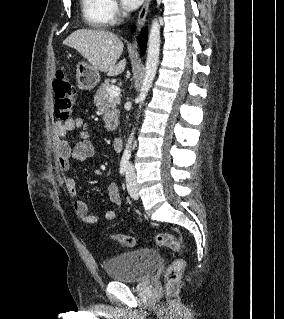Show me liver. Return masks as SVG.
Listing matches in <instances>:
<instances>
[{
  "label": "liver",
  "instance_id": "obj_1",
  "mask_svg": "<svg viewBox=\"0 0 284 319\" xmlns=\"http://www.w3.org/2000/svg\"><path fill=\"white\" fill-rule=\"evenodd\" d=\"M63 44L76 49L94 69L105 72L108 76L119 75L126 67L125 58L117 63L124 45L112 32L78 29Z\"/></svg>",
  "mask_w": 284,
  "mask_h": 319
}]
</instances>
